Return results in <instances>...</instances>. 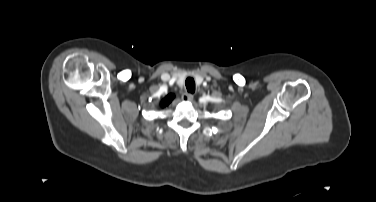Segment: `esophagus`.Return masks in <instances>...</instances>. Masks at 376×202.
Returning a JSON list of instances; mask_svg holds the SVG:
<instances>
[{
    "label": "esophagus",
    "mask_w": 376,
    "mask_h": 202,
    "mask_svg": "<svg viewBox=\"0 0 376 202\" xmlns=\"http://www.w3.org/2000/svg\"><path fill=\"white\" fill-rule=\"evenodd\" d=\"M182 100L184 102H191L193 100V95L185 92V93L182 94Z\"/></svg>",
    "instance_id": "obj_1"
}]
</instances>
